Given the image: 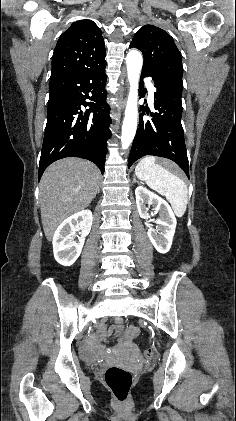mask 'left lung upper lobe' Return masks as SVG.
<instances>
[{
  "label": "left lung upper lobe",
  "instance_id": "obj_1",
  "mask_svg": "<svg viewBox=\"0 0 236 421\" xmlns=\"http://www.w3.org/2000/svg\"><path fill=\"white\" fill-rule=\"evenodd\" d=\"M142 51L143 69L156 77H164L182 82L181 54L171 36L161 28L145 25L134 35L130 48Z\"/></svg>",
  "mask_w": 236,
  "mask_h": 421
}]
</instances>
